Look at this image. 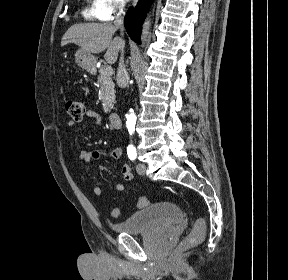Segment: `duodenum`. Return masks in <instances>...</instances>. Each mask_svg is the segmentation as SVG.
<instances>
[{
    "label": "duodenum",
    "mask_w": 288,
    "mask_h": 280,
    "mask_svg": "<svg viewBox=\"0 0 288 280\" xmlns=\"http://www.w3.org/2000/svg\"><path fill=\"white\" fill-rule=\"evenodd\" d=\"M109 124L114 130H119L121 128V120L117 113H111L109 115Z\"/></svg>",
    "instance_id": "duodenum-1"
}]
</instances>
